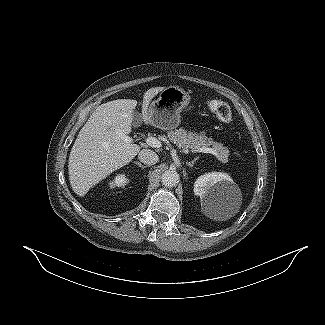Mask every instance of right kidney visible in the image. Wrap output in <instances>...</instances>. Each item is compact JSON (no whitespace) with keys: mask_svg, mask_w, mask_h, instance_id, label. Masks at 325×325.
<instances>
[{"mask_svg":"<svg viewBox=\"0 0 325 325\" xmlns=\"http://www.w3.org/2000/svg\"><path fill=\"white\" fill-rule=\"evenodd\" d=\"M129 183V178L125 174H117L113 180H110L109 187H124Z\"/></svg>","mask_w":325,"mask_h":325,"instance_id":"ca27d5eb","label":"right kidney"}]
</instances>
